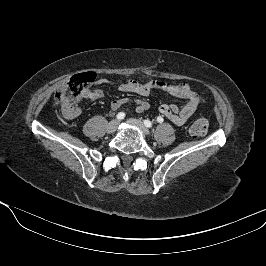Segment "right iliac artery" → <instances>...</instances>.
<instances>
[{"label": "right iliac artery", "mask_w": 266, "mask_h": 266, "mask_svg": "<svg viewBox=\"0 0 266 266\" xmlns=\"http://www.w3.org/2000/svg\"><path fill=\"white\" fill-rule=\"evenodd\" d=\"M124 117H125V113H124V112H119V113L117 114V116H116V118H117L118 120H122V119H124Z\"/></svg>", "instance_id": "82829eb1"}]
</instances>
